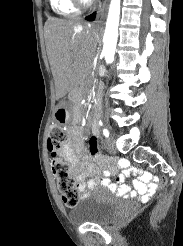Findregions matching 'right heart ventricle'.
<instances>
[{
	"label": "right heart ventricle",
	"mask_w": 183,
	"mask_h": 246,
	"mask_svg": "<svg viewBox=\"0 0 183 246\" xmlns=\"http://www.w3.org/2000/svg\"><path fill=\"white\" fill-rule=\"evenodd\" d=\"M51 9L60 16L71 17L79 13L73 0H49Z\"/></svg>",
	"instance_id": "1"
}]
</instances>
